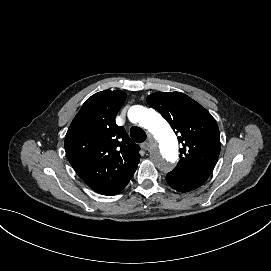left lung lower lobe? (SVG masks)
I'll return each mask as SVG.
<instances>
[{"instance_id": "1", "label": "left lung lower lobe", "mask_w": 271, "mask_h": 271, "mask_svg": "<svg viewBox=\"0 0 271 271\" xmlns=\"http://www.w3.org/2000/svg\"><path fill=\"white\" fill-rule=\"evenodd\" d=\"M206 180L207 178L192 177L173 172H169L166 175V181L169 186L183 193L199 188Z\"/></svg>"}]
</instances>
